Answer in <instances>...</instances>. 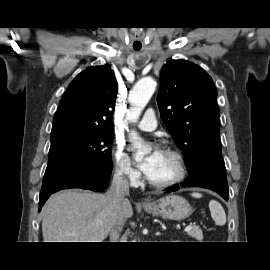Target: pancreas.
<instances>
[{
	"label": "pancreas",
	"instance_id": "obj_1",
	"mask_svg": "<svg viewBox=\"0 0 270 270\" xmlns=\"http://www.w3.org/2000/svg\"><path fill=\"white\" fill-rule=\"evenodd\" d=\"M187 234L191 237L196 238L197 240L203 239L202 230L198 226L192 227L189 231H187Z\"/></svg>",
	"mask_w": 270,
	"mask_h": 270
}]
</instances>
